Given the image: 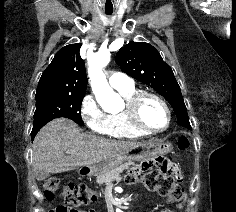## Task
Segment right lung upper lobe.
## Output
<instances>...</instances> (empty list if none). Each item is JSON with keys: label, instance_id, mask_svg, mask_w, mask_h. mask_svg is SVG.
Segmentation results:
<instances>
[{"label": "right lung upper lobe", "instance_id": "cb5924a9", "mask_svg": "<svg viewBox=\"0 0 236 212\" xmlns=\"http://www.w3.org/2000/svg\"><path fill=\"white\" fill-rule=\"evenodd\" d=\"M80 47V43L70 44L57 52L40 78L35 97L85 94L87 77Z\"/></svg>", "mask_w": 236, "mask_h": 212}]
</instances>
